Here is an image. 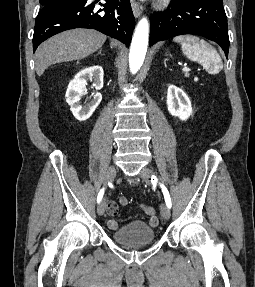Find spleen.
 <instances>
[{
	"mask_svg": "<svg viewBox=\"0 0 255 287\" xmlns=\"http://www.w3.org/2000/svg\"><path fill=\"white\" fill-rule=\"evenodd\" d=\"M173 42L181 44L184 56L193 62H202L208 66L212 74H217L223 68L222 60L214 48H211L204 40H198L195 36H176Z\"/></svg>",
	"mask_w": 255,
	"mask_h": 287,
	"instance_id": "3e777b00",
	"label": "spleen"
}]
</instances>
